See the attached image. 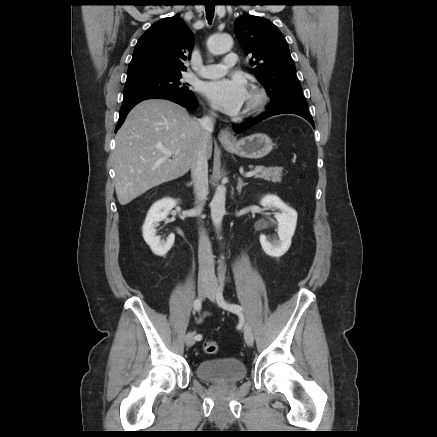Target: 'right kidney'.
Here are the masks:
<instances>
[{
  "label": "right kidney",
  "mask_w": 437,
  "mask_h": 437,
  "mask_svg": "<svg viewBox=\"0 0 437 437\" xmlns=\"http://www.w3.org/2000/svg\"><path fill=\"white\" fill-rule=\"evenodd\" d=\"M177 203V200L172 198H163L155 202L149 209L142 226L143 238L157 256H165L174 244V234H170L166 241L161 240L160 236H156V227L160 221L167 219L169 212Z\"/></svg>",
  "instance_id": "obj_1"
}]
</instances>
